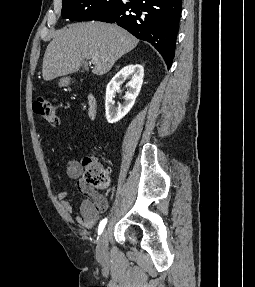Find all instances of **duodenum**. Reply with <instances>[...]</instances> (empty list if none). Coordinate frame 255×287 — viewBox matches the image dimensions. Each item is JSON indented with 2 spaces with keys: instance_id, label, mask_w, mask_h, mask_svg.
<instances>
[{
  "instance_id": "410a0bca",
  "label": "duodenum",
  "mask_w": 255,
  "mask_h": 287,
  "mask_svg": "<svg viewBox=\"0 0 255 287\" xmlns=\"http://www.w3.org/2000/svg\"><path fill=\"white\" fill-rule=\"evenodd\" d=\"M98 114V100L94 94H89L87 97V115L91 120H94Z\"/></svg>"
}]
</instances>
